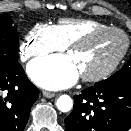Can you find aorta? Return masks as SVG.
Here are the masks:
<instances>
[{
	"label": "aorta",
	"mask_w": 131,
	"mask_h": 131,
	"mask_svg": "<svg viewBox=\"0 0 131 131\" xmlns=\"http://www.w3.org/2000/svg\"><path fill=\"white\" fill-rule=\"evenodd\" d=\"M56 107L61 112H68L73 107V100L68 95H61L56 101Z\"/></svg>",
	"instance_id": "762f6f07"
}]
</instances>
